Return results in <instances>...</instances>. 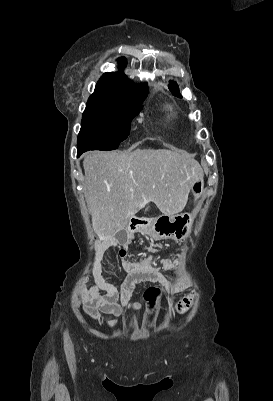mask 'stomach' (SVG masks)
Instances as JSON below:
<instances>
[{"label":"stomach","mask_w":273,"mask_h":401,"mask_svg":"<svg viewBox=\"0 0 273 401\" xmlns=\"http://www.w3.org/2000/svg\"><path fill=\"white\" fill-rule=\"evenodd\" d=\"M191 190L195 203H201L204 190L203 178H198V180L194 182ZM193 221L194 215H191V213L172 215V217L160 215V217L148 221V225L142 229V233L148 235L151 239H155V241H160V239L183 241V239L189 237L192 231Z\"/></svg>","instance_id":"obj_1"}]
</instances>
